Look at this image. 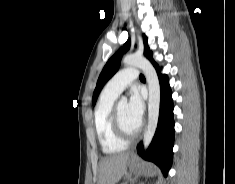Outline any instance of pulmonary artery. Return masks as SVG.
I'll use <instances>...</instances> for the list:
<instances>
[{
	"instance_id": "pulmonary-artery-1",
	"label": "pulmonary artery",
	"mask_w": 235,
	"mask_h": 184,
	"mask_svg": "<svg viewBox=\"0 0 235 184\" xmlns=\"http://www.w3.org/2000/svg\"><path fill=\"white\" fill-rule=\"evenodd\" d=\"M138 70L126 68L115 74L105 85L104 93L111 96H118L137 77Z\"/></svg>"
}]
</instances>
